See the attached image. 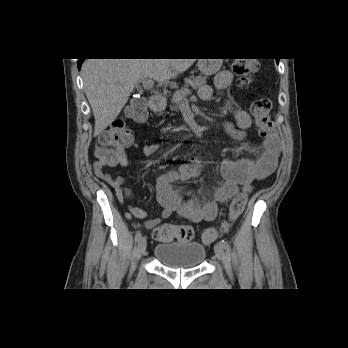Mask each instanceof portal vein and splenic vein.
<instances>
[{
    "label": "portal vein and splenic vein",
    "mask_w": 348,
    "mask_h": 348,
    "mask_svg": "<svg viewBox=\"0 0 348 348\" xmlns=\"http://www.w3.org/2000/svg\"><path fill=\"white\" fill-rule=\"evenodd\" d=\"M142 84H143V87H144L145 89H151V88H153V86H154V82H153L152 79H146V80H144V81L142 82ZM187 94H191V90H190V89H187L186 92L183 93V96H186Z\"/></svg>",
    "instance_id": "18ae733b"
}]
</instances>
